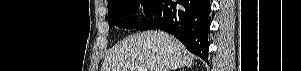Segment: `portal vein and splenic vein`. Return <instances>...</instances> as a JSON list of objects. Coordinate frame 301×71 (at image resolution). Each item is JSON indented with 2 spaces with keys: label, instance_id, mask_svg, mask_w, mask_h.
I'll use <instances>...</instances> for the list:
<instances>
[{
  "label": "portal vein and splenic vein",
  "instance_id": "1",
  "mask_svg": "<svg viewBox=\"0 0 301 71\" xmlns=\"http://www.w3.org/2000/svg\"><path fill=\"white\" fill-rule=\"evenodd\" d=\"M138 71H148V69L145 66H134Z\"/></svg>",
  "mask_w": 301,
  "mask_h": 71
}]
</instances>
